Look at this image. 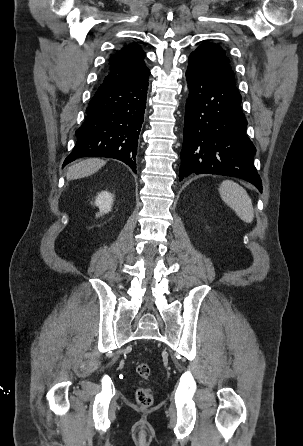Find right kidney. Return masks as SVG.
Instances as JSON below:
<instances>
[{
	"mask_svg": "<svg viewBox=\"0 0 303 446\" xmlns=\"http://www.w3.org/2000/svg\"><path fill=\"white\" fill-rule=\"evenodd\" d=\"M113 204L112 194L107 191H102L98 194L95 200V205L99 208L100 212L96 216H102L111 211Z\"/></svg>",
	"mask_w": 303,
	"mask_h": 446,
	"instance_id": "right-kidney-1",
	"label": "right kidney"
}]
</instances>
